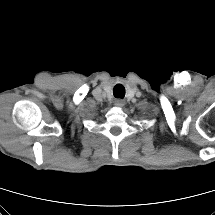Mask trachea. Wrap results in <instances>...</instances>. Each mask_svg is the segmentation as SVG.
I'll return each instance as SVG.
<instances>
[{"label": "trachea", "instance_id": "1", "mask_svg": "<svg viewBox=\"0 0 215 215\" xmlns=\"http://www.w3.org/2000/svg\"><path fill=\"white\" fill-rule=\"evenodd\" d=\"M113 94L116 98H124L125 88L121 84H118L114 87Z\"/></svg>", "mask_w": 215, "mask_h": 215}]
</instances>
